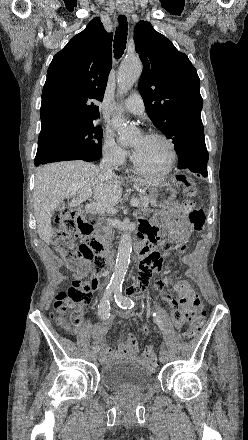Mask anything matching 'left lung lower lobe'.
<instances>
[{
	"instance_id": "1",
	"label": "left lung lower lobe",
	"mask_w": 248,
	"mask_h": 440,
	"mask_svg": "<svg viewBox=\"0 0 248 440\" xmlns=\"http://www.w3.org/2000/svg\"><path fill=\"white\" fill-rule=\"evenodd\" d=\"M178 167H179V169H187V170H190L192 172L199 173L203 177H207L208 176L207 163L206 162H202V163H199V164L193 165V166H178Z\"/></svg>"
}]
</instances>
